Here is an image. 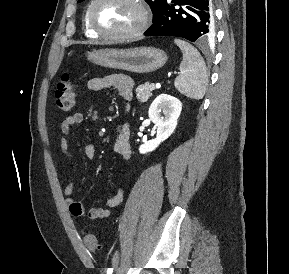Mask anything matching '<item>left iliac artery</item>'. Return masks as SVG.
Segmentation results:
<instances>
[{"label": "left iliac artery", "mask_w": 289, "mask_h": 274, "mask_svg": "<svg viewBox=\"0 0 289 274\" xmlns=\"http://www.w3.org/2000/svg\"><path fill=\"white\" fill-rule=\"evenodd\" d=\"M113 273V268H108L107 269V274H112Z\"/></svg>", "instance_id": "left-iliac-artery-1"}]
</instances>
